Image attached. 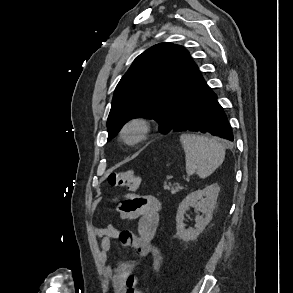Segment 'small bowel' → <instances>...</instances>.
<instances>
[{"instance_id": "1", "label": "small bowel", "mask_w": 293, "mask_h": 293, "mask_svg": "<svg viewBox=\"0 0 293 293\" xmlns=\"http://www.w3.org/2000/svg\"><path fill=\"white\" fill-rule=\"evenodd\" d=\"M121 218L126 221L138 220L137 233L128 230L119 231L113 225L92 227L93 237L100 242L102 252L111 254V240L119 238L123 246L132 248L142 257H150L152 267L157 271L160 266V254L154 244L161 210L160 201L151 195L127 193L116 198ZM135 268L127 261H119L109 265L107 274L112 280L114 293H126V281Z\"/></svg>"}]
</instances>
